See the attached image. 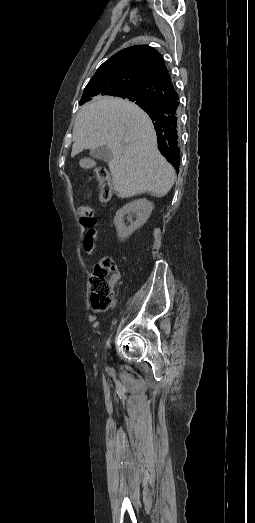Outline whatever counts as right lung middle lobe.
Instances as JSON below:
<instances>
[{"label":"right lung middle lobe","mask_w":255,"mask_h":523,"mask_svg":"<svg viewBox=\"0 0 255 523\" xmlns=\"http://www.w3.org/2000/svg\"><path fill=\"white\" fill-rule=\"evenodd\" d=\"M116 97L127 98L130 101L140 102L143 108H150L153 105V98L146 92L136 89L122 91Z\"/></svg>","instance_id":"right-lung-middle-lobe-1"}]
</instances>
